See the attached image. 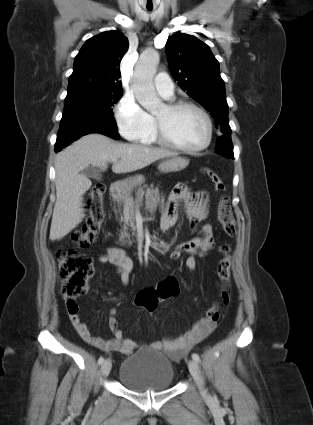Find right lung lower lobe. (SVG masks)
Here are the masks:
<instances>
[{
  "label": "right lung lower lobe",
  "instance_id": "right-lung-lower-lobe-1",
  "mask_svg": "<svg viewBox=\"0 0 313 425\" xmlns=\"http://www.w3.org/2000/svg\"><path fill=\"white\" fill-rule=\"evenodd\" d=\"M90 133H100L119 139L114 117L70 109L63 112L55 144V152Z\"/></svg>",
  "mask_w": 313,
  "mask_h": 425
}]
</instances>
